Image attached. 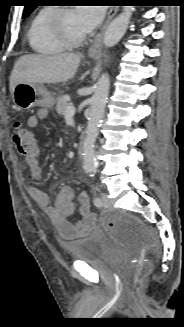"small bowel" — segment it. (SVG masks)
Returning <instances> with one entry per match:
<instances>
[{"label": "small bowel", "mask_w": 184, "mask_h": 327, "mask_svg": "<svg viewBox=\"0 0 184 327\" xmlns=\"http://www.w3.org/2000/svg\"><path fill=\"white\" fill-rule=\"evenodd\" d=\"M48 114V110L41 109L30 116L27 125L34 128ZM42 146L36 149L26 158L30 176L34 180H41L43 177V169L39 162V156L43 152ZM30 194L41 207L52 222L57 226L59 233L66 239H73L87 234L96 224V217L91 211L89 196L83 191L75 199V192L71 187H64L56 196L54 204L51 205L48 194L37 187L30 188ZM78 205L79 220L77 222L70 221Z\"/></svg>", "instance_id": "obj_1"}]
</instances>
